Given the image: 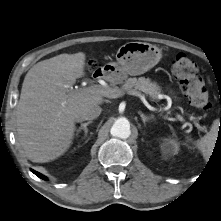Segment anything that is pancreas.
Returning a JSON list of instances; mask_svg holds the SVG:
<instances>
[{
    "mask_svg": "<svg viewBox=\"0 0 221 221\" xmlns=\"http://www.w3.org/2000/svg\"><path fill=\"white\" fill-rule=\"evenodd\" d=\"M112 89L116 90L117 92L139 90L149 95L152 100L157 99L161 92L160 87L155 82H152L149 78L145 77H139L138 79L135 77L128 78L121 88L114 87Z\"/></svg>",
    "mask_w": 221,
    "mask_h": 221,
    "instance_id": "pancreas-1",
    "label": "pancreas"
}]
</instances>
